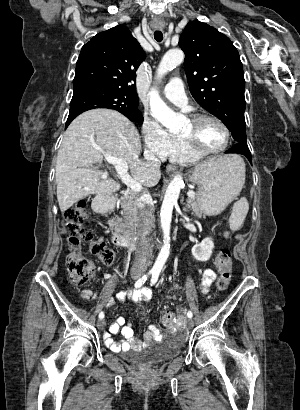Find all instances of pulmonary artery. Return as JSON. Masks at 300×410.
I'll list each match as a JSON object with an SVG mask.
<instances>
[{"instance_id": "1", "label": "pulmonary artery", "mask_w": 300, "mask_h": 410, "mask_svg": "<svg viewBox=\"0 0 300 410\" xmlns=\"http://www.w3.org/2000/svg\"><path fill=\"white\" fill-rule=\"evenodd\" d=\"M164 97L175 105L182 106L189 110L187 106V96L183 88V81L180 78H172L164 87Z\"/></svg>"}]
</instances>
